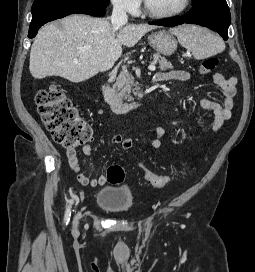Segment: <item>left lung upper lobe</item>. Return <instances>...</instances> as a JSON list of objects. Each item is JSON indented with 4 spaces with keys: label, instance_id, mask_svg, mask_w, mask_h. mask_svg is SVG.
I'll list each match as a JSON object with an SVG mask.
<instances>
[{
    "label": "left lung upper lobe",
    "instance_id": "left-lung-upper-lobe-1",
    "mask_svg": "<svg viewBox=\"0 0 255 272\" xmlns=\"http://www.w3.org/2000/svg\"><path fill=\"white\" fill-rule=\"evenodd\" d=\"M199 0H193L194 3L198 2Z\"/></svg>",
    "mask_w": 255,
    "mask_h": 272
}]
</instances>
